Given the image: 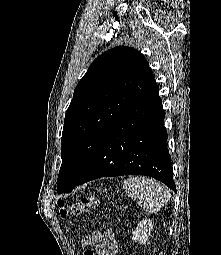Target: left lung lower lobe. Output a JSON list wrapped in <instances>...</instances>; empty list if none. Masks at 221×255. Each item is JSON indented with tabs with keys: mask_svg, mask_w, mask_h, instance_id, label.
<instances>
[{
	"mask_svg": "<svg viewBox=\"0 0 221 255\" xmlns=\"http://www.w3.org/2000/svg\"><path fill=\"white\" fill-rule=\"evenodd\" d=\"M164 117L155 86L112 126L75 186L101 177L147 175L176 192Z\"/></svg>",
	"mask_w": 221,
	"mask_h": 255,
	"instance_id": "1",
	"label": "left lung lower lobe"
}]
</instances>
